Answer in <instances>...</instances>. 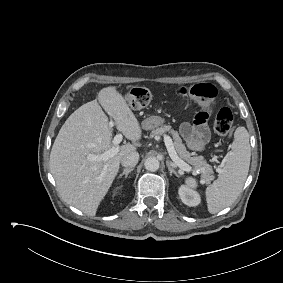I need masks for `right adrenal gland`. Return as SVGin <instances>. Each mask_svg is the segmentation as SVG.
<instances>
[{"mask_svg":"<svg viewBox=\"0 0 283 283\" xmlns=\"http://www.w3.org/2000/svg\"><path fill=\"white\" fill-rule=\"evenodd\" d=\"M133 170H134V168H126V169H124V171L119 175V178L122 177V176H125V179H126L128 174L130 172H132Z\"/></svg>","mask_w":283,"mask_h":283,"instance_id":"right-adrenal-gland-1","label":"right adrenal gland"}]
</instances>
